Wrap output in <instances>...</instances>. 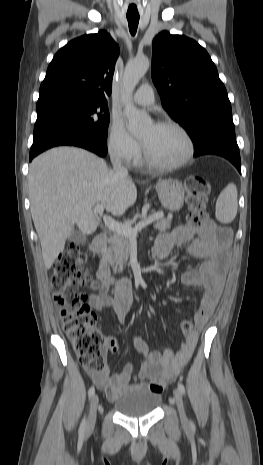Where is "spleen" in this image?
Masks as SVG:
<instances>
[{"mask_svg": "<svg viewBox=\"0 0 263 465\" xmlns=\"http://www.w3.org/2000/svg\"><path fill=\"white\" fill-rule=\"evenodd\" d=\"M237 188L229 183L220 193L216 202V218L221 223H231L237 214Z\"/></svg>", "mask_w": 263, "mask_h": 465, "instance_id": "3e777b00", "label": "spleen"}]
</instances>
